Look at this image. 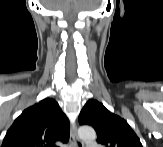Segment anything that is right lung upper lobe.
Masks as SVG:
<instances>
[{
	"label": "right lung upper lobe",
	"mask_w": 163,
	"mask_h": 147,
	"mask_svg": "<svg viewBox=\"0 0 163 147\" xmlns=\"http://www.w3.org/2000/svg\"><path fill=\"white\" fill-rule=\"evenodd\" d=\"M69 139V120L54 99L27 108L7 131L1 147H55Z\"/></svg>",
	"instance_id": "right-lung-upper-lobe-1"
}]
</instances>
